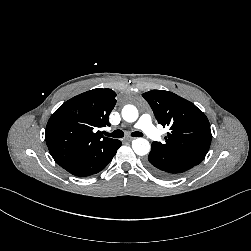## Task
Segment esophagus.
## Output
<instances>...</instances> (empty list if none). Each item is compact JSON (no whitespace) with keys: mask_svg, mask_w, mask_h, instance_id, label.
<instances>
[{"mask_svg":"<svg viewBox=\"0 0 251 251\" xmlns=\"http://www.w3.org/2000/svg\"><path fill=\"white\" fill-rule=\"evenodd\" d=\"M135 138L134 137H127L126 140L127 141H133Z\"/></svg>","mask_w":251,"mask_h":251,"instance_id":"34e87169","label":"esophagus"}]
</instances>
